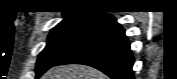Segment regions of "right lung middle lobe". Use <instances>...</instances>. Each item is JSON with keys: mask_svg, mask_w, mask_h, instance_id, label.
<instances>
[{"mask_svg": "<svg viewBox=\"0 0 177 79\" xmlns=\"http://www.w3.org/2000/svg\"><path fill=\"white\" fill-rule=\"evenodd\" d=\"M103 18H86L59 23L49 34L48 44L40 53L36 65V78L54 66L64 55L80 44Z\"/></svg>", "mask_w": 177, "mask_h": 79, "instance_id": "1", "label": "right lung middle lobe"}]
</instances>
